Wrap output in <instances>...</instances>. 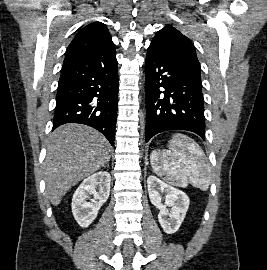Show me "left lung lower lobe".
Wrapping results in <instances>:
<instances>
[{
  "label": "left lung lower lobe",
  "mask_w": 267,
  "mask_h": 270,
  "mask_svg": "<svg viewBox=\"0 0 267 270\" xmlns=\"http://www.w3.org/2000/svg\"><path fill=\"white\" fill-rule=\"evenodd\" d=\"M145 75L146 142L170 130L191 131L205 139L201 77L152 46Z\"/></svg>",
  "instance_id": "0a47b994"
}]
</instances>
